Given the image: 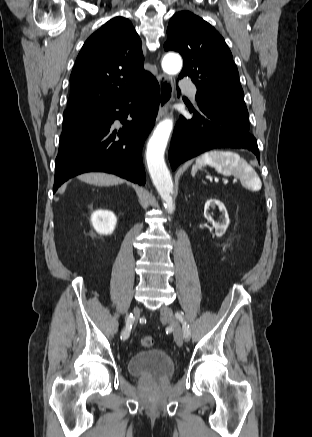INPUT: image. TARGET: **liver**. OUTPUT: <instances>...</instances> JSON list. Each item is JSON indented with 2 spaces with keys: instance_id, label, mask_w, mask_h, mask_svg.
Masks as SVG:
<instances>
[{
  "instance_id": "1",
  "label": "liver",
  "mask_w": 312,
  "mask_h": 437,
  "mask_svg": "<svg viewBox=\"0 0 312 437\" xmlns=\"http://www.w3.org/2000/svg\"><path fill=\"white\" fill-rule=\"evenodd\" d=\"M79 179L96 186H110L124 183L122 178L106 173H86L79 176Z\"/></svg>"
}]
</instances>
